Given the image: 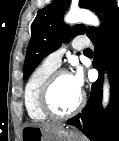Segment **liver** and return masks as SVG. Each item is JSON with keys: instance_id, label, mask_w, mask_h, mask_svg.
<instances>
[{"instance_id": "liver-1", "label": "liver", "mask_w": 119, "mask_h": 141, "mask_svg": "<svg viewBox=\"0 0 119 141\" xmlns=\"http://www.w3.org/2000/svg\"><path fill=\"white\" fill-rule=\"evenodd\" d=\"M27 125H34V126H39L42 128H46V129H62L63 127L59 124H54V123H48V122H44V123H36V124H25V126Z\"/></svg>"}]
</instances>
